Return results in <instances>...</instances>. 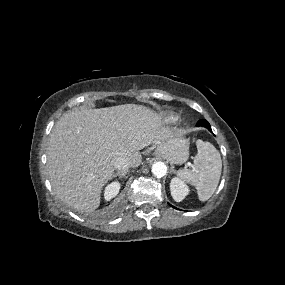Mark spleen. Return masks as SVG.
Masks as SVG:
<instances>
[{
    "label": "spleen",
    "mask_w": 285,
    "mask_h": 285,
    "mask_svg": "<svg viewBox=\"0 0 285 285\" xmlns=\"http://www.w3.org/2000/svg\"><path fill=\"white\" fill-rule=\"evenodd\" d=\"M196 146L193 170L180 169L177 176L196 188L200 201H206L218 186L222 160L220 153L211 143L197 140Z\"/></svg>",
    "instance_id": "obj_1"
}]
</instances>
